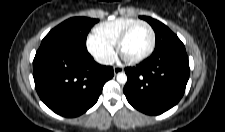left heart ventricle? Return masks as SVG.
<instances>
[{"label":"left heart ventricle","instance_id":"1","mask_svg":"<svg viewBox=\"0 0 225 132\" xmlns=\"http://www.w3.org/2000/svg\"><path fill=\"white\" fill-rule=\"evenodd\" d=\"M150 32L145 25L136 26L122 45L123 57L133 59L146 52L150 45Z\"/></svg>","mask_w":225,"mask_h":132}]
</instances>
